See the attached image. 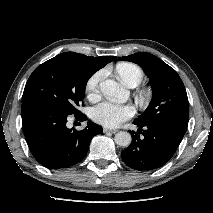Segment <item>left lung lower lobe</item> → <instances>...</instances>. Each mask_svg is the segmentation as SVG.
I'll return each instance as SVG.
<instances>
[{"instance_id":"0a47b994","label":"left lung lower lobe","mask_w":213,"mask_h":213,"mask_svg":"<svg viewBox=\"0 0 213 213\" xmlns=\"http://www.w3.org/2000/svg\"><path fill=\"white\" fill-rule=\"evenodd\" d=\"M134 124L139 127L138 133L130 132L132 143L121 153V158L136 170H153L168 162L187 129L169 122L140 124L134 121Z\"/></svg>"}]
</instances>
